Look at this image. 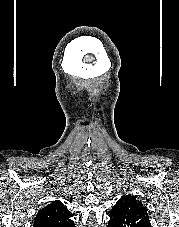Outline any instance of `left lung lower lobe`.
<instances>
[{
    "label": "left lung lower lobe",
    "mask_w": 179,
    "mask_h": 227,
    "mask_svg": "<svg viewBox=\"0 0 179 227\" xmlns=\"http://www.w3.org/2000/svg\"><path fill=\"white\" fill-rule=\"evenodd\" d=\"M108 227H114V225L112 223H108Z\"/></svg>",
    "instance_id": "obj_1"
}]
</instances>
